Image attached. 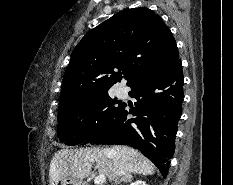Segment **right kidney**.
Masks as SVG:
<instances>
[{
    "label": "right kidney",
    "mask_w": 233,
    "mask_h": 185,
    "mask_svg": "<svg viewBox=\"0 0 233 185\" xmlns=\"http://www.w3.org/2000/svg\"><path fill=\"white\" fill-rule=\"evenodd\" d=\"M130 185H147V184L142 180H137V181L131 183Z\"/></svg>",
    "instance_id": "ca27d5eb"
}]
</instances>
